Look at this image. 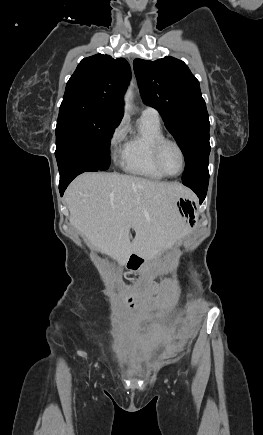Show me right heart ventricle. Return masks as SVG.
I'll return each mask as SVG.
<instances>
[{
  "label": "right heart ventricle",
  "instance_id": "right-heart-ventricle-1",
  "mask_svg": "<svg viewBox=\"0 0 263 435\" xmlns=\"http://www.w3.org/2000/svg\"><path fill=\"white\" fill-rule=\"evenodd\" d=\"M159 120L141 116L137 131L130 135L122 149L121 165L133 175L160 180L165 176L156 168L153 161V148L156 142L164 138Z\"/></svg>",
  "mask_w": 263,
  "mask_h": 435
}]
</instances>
